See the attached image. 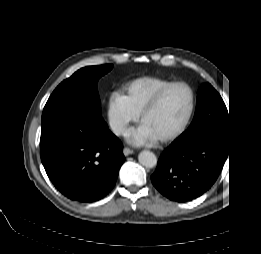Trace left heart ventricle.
Instances as JSON below:
<instances>
[{
  "instance_id": "b2bd125f",
  "label": "left heart ventricle",
  "mask_w": 261,
  "mask_h": 254,
  "mask_svg": "<svg viewBox=\"0 0 261 254\" xmlns=\"http://www.w3.org/2000/svg\"><path fill=\"white\" fill-rule=\"evenodd\" d=\"M188 98L185 88L171 89L145 116L142 125L155 137L172 131L177 127L187 109Z\"/></svg>"
}]
</instances>
